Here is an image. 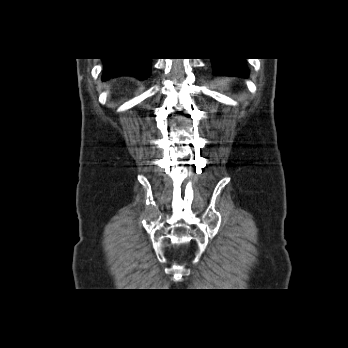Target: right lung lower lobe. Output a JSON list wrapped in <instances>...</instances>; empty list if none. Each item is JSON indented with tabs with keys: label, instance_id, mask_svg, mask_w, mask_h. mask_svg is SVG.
<instances>
[{
	"label": "right lung lower lobe",
	"instance_id": "98d812e1",
	"mask_svg": "<svg viewBox=\"0 0 348 348\" xmlns=\"http://www.w3.org/2000/svg\"><path fill=\"white\" fill-rule=\"evenodd\" d=\"M103 80L118 76H135L143 80L151 71L150 58L103 59Z\"/></svg>",
	"mask_w": 348,
	"mask_h": 348
}]
</instances>
